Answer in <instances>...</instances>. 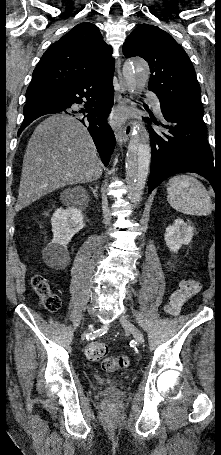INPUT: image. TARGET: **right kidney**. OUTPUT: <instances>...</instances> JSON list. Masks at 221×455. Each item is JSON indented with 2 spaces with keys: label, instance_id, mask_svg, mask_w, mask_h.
<instances>
[{
  "label": "right kidney",
  "instance_id": "right-kidney-1",
  "mask_svg": "<svg viewBox=\"0 0 221 455\" xmlns=\"http://www.w3.org/2000/svg\"><path fill=\"white\" fill-rule=\"evenodd\" d=\"M53 239L44 250V257L54 265H64L69 260L67 244L84 226L80 209L69 207L57 209L52 218Z\"/></svg>",
  "mask_w": 221,
  "mask_h": 455
}]
</instances>
